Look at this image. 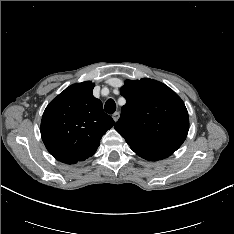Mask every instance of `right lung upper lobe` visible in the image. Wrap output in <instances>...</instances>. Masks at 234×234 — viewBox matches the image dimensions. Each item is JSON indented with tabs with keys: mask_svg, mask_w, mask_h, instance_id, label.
Segmentation results:
<instances>
[{
	"mask_svg": "<svg viewBox=\"0 0 234 234\" xmlns=\"http://www.w3.org/2000/svg\"><path fill=\"white\" fill-rule=\"evenodd\" d=\"M94 83L67 87L46 107L41 121L42 140L60 162L75 164L91 157L102 136L113 125L102 103L92 94Z\"/></svg>",
	"mask_w": 234,
	"mask_h": 234,
	"instance_id": "cb5924a9",
	"label": "right lung upper lobe"
}]
</instances>
